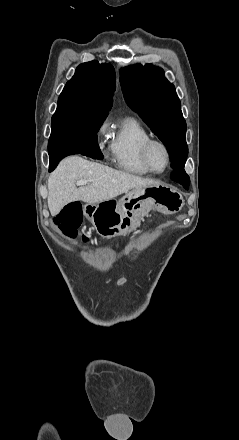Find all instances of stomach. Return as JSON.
<instances>
[{
  "label": "stomach",
  "mask_w": 239,
  "mask_h": 440,
  "mask_svg": "<svg viewBox=\"0 0 239 440\" xmlns=\"http://www.w3.org/2000/svg\"><path fill=\"white\" fill-rule=\"evenodd\" d=\"M184 206L180 192L168 186H152V188H134L125 192L120 200H106L85 204L83 214L97 234L102 238L127 236L137 230L141 218L147 216L150 210L161 214H176Z\"/></svg>",
  "instance_id": "1"
}]
</instances>
